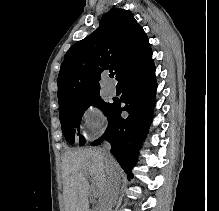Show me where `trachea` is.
Returning <instances> with one entry per match:
<instances>
[{"label":"trachea","mask_w":219,"mask_h":211,"mask_svg":"<svg viewBox=\"0 0 219 211\" xmlns=\"http://www.w3.org/2000/svg\"><path fill=\"white\" fill-rule=\"evenodd\" d=\"M110 77L114 78V73L113 72H110Z\"/></svg>","instance_id":"3493384b"}]
</instances>
